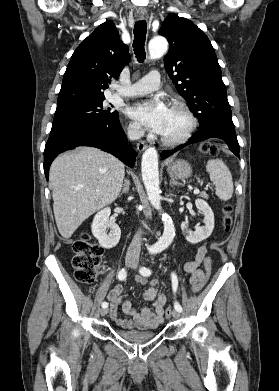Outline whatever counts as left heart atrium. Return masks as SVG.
Returning a JSON list of instances; mask_svg holds the SVG:
<instances>
[{
	"mask_svg": "<svg viewBox=\"0 0 279 391\" xmlns=\"http://www.w3.org/2000/svg\"><path fill=\"white\" fill-rule=\"evenodd\" d=\"M169 108L160 99L155 98L136 103L128 110V115L139 124L161 133Z\"/></svg>",
	"mask_w": 279,
	"mask_h": 391,
	"instance_id": "obj_1",
	"label": "left heart atrium"
}]
</instances>
